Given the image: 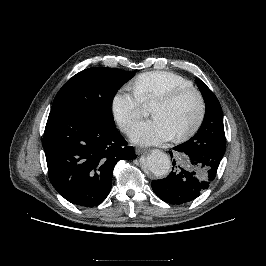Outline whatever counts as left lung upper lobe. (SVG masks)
Masks as SVG:
<instances>
[{"label": "left lung upper lobe", "mask_w": 266, "mask_h": 266, "mask_svg": "<svg viewBox=\"0 0 266 266\" xmlns=\"http://www.w3.org/2000/svg\"><path fill=\"white\" fill-rule=\"evenodd\" d=\"M196 83L205 101V116L196 135L183 145L190 151L221 161L226 150L222 108L215 94L203 81L196 80Z\"/></svg>", "instance_id": "1"}]
</instances>
